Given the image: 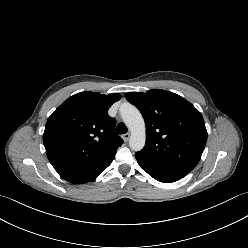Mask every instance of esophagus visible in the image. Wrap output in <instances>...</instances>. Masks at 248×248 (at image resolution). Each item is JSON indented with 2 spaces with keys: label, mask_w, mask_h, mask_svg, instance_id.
Masks as SVG:
<instances>
[{
  "label": "esophagus",
  "mask_w": 248,
  "mask_h": 248,
  "mask_svg": "<svg viewBox=\"0 0 248 248\" xmlns=\"http://www.w3.org/2000/svg\"><path fill=\"white\" fill-rule=\"evenodd\" d=\"M123 140L127 142L130 139V133H126L122 136Z\"/></svg>",
  "instance_id": "esophagus-1"
}]
</instances>
